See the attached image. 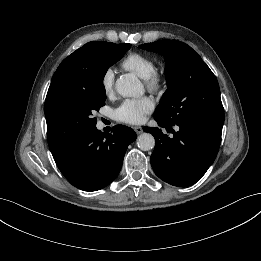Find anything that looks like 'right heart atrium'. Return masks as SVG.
Masks as SVG:
<instances>
[{
  "label": "right heart atrium",
  "instance_id": "d8ad5b80",
  "mask_svg": "<svg viewBox=\"0 0 261 261\" xmlns=\"http://www.w3.org/2000/svg\"><path fill=\"white\" fill-rule=\"evenodd\" d=\"M115 74L112 68H107L101 76V87L106 95H110L114 90Z\"/></svg>",
  "mask_w": 261,
  "mask_h": 261
}]
</instances>
